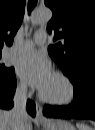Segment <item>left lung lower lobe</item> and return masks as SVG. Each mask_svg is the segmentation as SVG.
<instances>
[{"mask_svg":"<svg viewBox=\"0 0 95 130\" xmlns=\"http://www.w3.org/2000/svg\"><path fill=\"white\" fill-rule=\"evenodd\" d=\"M73 86V103L68 106L45 105L43 114L46 117L95 120V71L84 72Z\"/></svg>","mask_w":95,"mask_h":130,"instance_id":"obj_1","label":"left lung lower lobe"}]
</instances>
